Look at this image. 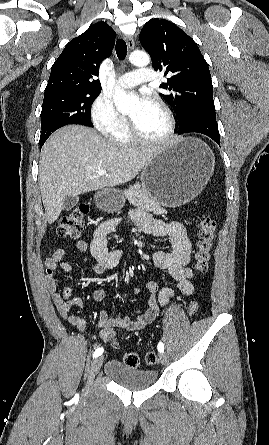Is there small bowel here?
<instances>
[{
	"instance_id": "small-bowel-1",
	"label": "small bowel",
	"mask_w": 269,
	"mask_h": 445,
	"mask_svg": "<svg viewBox=\"0 0 269 445\" xmlns=\"http://www.w3.org/2000/svg\"><path fill=\"white\" fill-rule=\"evenodd\" d=\"M132 219L136 225L147 234L156 237H168L172 244L171 252L158 251L153 255L154 264L165 270L176 282L177 289L181 294L189 296L194 291L193 278L194 273L188 267L190 261L191 244L187 237L184 226L179 222L166 223L153 218L152 216L136 210L132 213ZM114 221H107L100 224L95 232L90 244L84 240L76 243V248L80 252L89 251L96 263L93 267L94 272L102 274L107 270L115 269L122 258L121 250L108 249L109 234L115 228ZM66 250L57 249L45 264L48 271L46 276V286L51 294L53 302L60 316L70 325L75 326L80 331L86 329V320L79 314L84 306L81 298L67 300V295L61 293L54 281V273L60 267L65 273L71 272V266L64 261ZM148 293L147 309L138 315L135 319L129 317L110 318L108 312L102 309L98 315V325L101 329V338L105 341V333L113 331L115 328L127 331H137L151 324L159 315L160 310L173 298L175 291L171 287L159 288L156 282L150 281L145 285ZM140 287L134 288V293L139 294ZM94 301L104 302L107 298V291L96 289L91 293ZM73 309H76L74 312Z\"/></svg>"
}]
</instances>
